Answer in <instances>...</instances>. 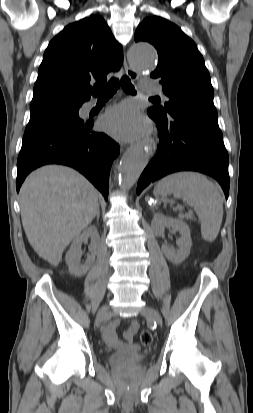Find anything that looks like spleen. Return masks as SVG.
<instances>
[{"mask_svg": "<svg viewBox=\"0 0 253 413\" xmlns=\"http://www.w3.org/2000/svg\"><path fill=\"white\" fill-rule=\"evenodd\" d=\"M170 194L194 208L203 239L215 240L223 218V202L217 186L203 174L177 172L161 179L154 188L155 196Z\"/></svg>", "mask_w": 253, "mask_h": 413, "instance_id": "obj_1", "label": "spleen"}]
</instances>
